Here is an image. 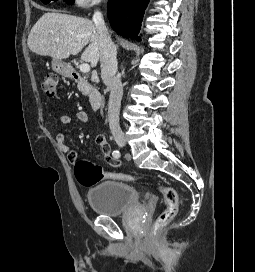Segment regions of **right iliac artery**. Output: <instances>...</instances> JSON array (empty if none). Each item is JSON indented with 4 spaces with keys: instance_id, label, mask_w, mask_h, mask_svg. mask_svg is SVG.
<instances>
[{
    "instance_id": "right-iliac-artery-1",
    "label": "right iliac artery",
    "mask_w": 255,
    "mask_h": 272,
    "mask_svg": "<svg viewBox=\"0 0 255 272\" xmlns=\"http://www.w3.org/2000/svg\"><path fill=\"white\" fill-rule=\"evenodd\" d=\"M112 154H113L114 158L120 157V152L118 150H114Z\"/></svg>"
}]
</instances>
